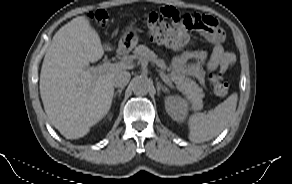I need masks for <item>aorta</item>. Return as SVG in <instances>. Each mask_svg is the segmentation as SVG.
Returning a JSON list of instances; mask_svg holds the SVG:
<instances>
[{
	"mask_svg": "<svg viewBox=\"0 0 292 184\" xmlns=\"http://www.w3.org/2000/svg\"><path fill=\"white\" fill-rule=\"evenodd\" d=\"M132 91L136 95H146L150 88H151V82L142 77H137L132 81Z\"/></svg>",
	"mask_w": 292,
	"mask_h": 184,
	"instance_id": "1",
	"label": "aorta"
}]
</instances>
